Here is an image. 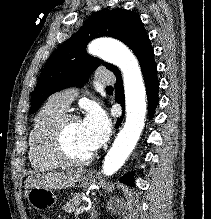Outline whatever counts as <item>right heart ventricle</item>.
Instances as JSON below:
<instances>
[{"instance_id":"1","label":"right heart ventricle","mask_w":211,"mask_h":219,"mask_svg":"<svg viewBox=\"0 0 211 219\" xmlns=\"http://www.w3.org/2000/svg\"><path fill=\"white\" fill-rule=\"evenodd\" d=\"M65 111L66 108L49 100L34 117L28 147L30 164L37 171H52L64 166L50 152L47 136L53 122Z\"/></svg>"}]
</instances>
